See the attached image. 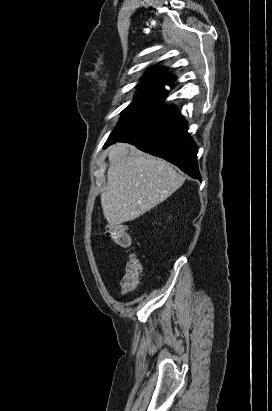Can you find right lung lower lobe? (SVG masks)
<instances>
[{
  "label": "right lung lower lobe",
  "instance_id": "obj_1",
  "mask_svg": "<svg viewBox=\"0 0 272 411\" xmlns=\"http://www.w3.org/2000/svg\"><path fill=\"white\" fill-rule=\"evenodd\" d=\"M127 142L140 150L161 157L194 179H201L197 147L187 132V122L177 111L168 117L123 138H109L105 146Z\"/></svg>",
  "mask_w": 272,
  "mask_h": 411
}]
</instances>
